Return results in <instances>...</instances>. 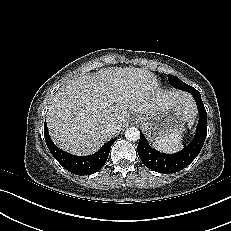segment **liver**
Masks as SVG:
<instances>
[{"instance_id":"6515ba94","label":"liver","mask_w":231,"mask_h":231,"mask_svg":"<svg viewBox=\"0 0 231 231\" xmlns=\"http://www.w3.org/2000/svg\"><path fill=\"white\" fill-rule=\"evenodd\" d=\"M169 104L182 107L186 121L194 117L189 94L164 92L146 69L112 67L62 86L48 107L47 125L58 147L75 155H90L115 135L108 130L111 122L122 130L130 114L151 113Z\"/></svg>"}]
</instances>
